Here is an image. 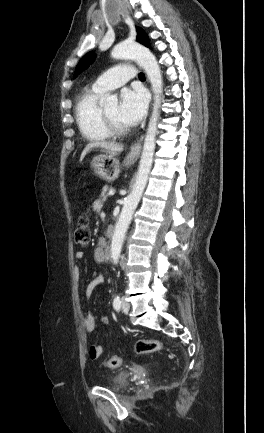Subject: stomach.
Here are the masks:
<instances>
[{"label": "stomach", "mask_w": 264, "mask_h": 433, "mask_svg": "<svg viewBox=\"0 0 264 433\" xmlns=\"http://www.w3.org/2000/svg\"><path fill=\"white\" fill-rule=\"evenodd\" d=\"M132 163L133 160H125L123 166L128 167ZM90 167L98 177L111 182L118 178L122 166L114 155L100 154L92 158Z\"/></svg>", "instance_id": "1"}]
</instances>
